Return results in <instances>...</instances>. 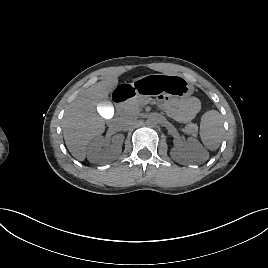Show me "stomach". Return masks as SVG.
Segmentation results:
<instances>
[{
  "instance_id": "obj_1",
  "label": "stomach",
  "mask_w": 268,
  "mask_h": 268,
  "mask_svg": "<svg viewBox=\"0 0 268 268\" xmlns=\"http://www.w3.org/2000/svg\"><path fill=\"white\" fill-rule=\"evenodd\" d=\"M130 85L137 95L147 97L159 93L188 97L194 91L193 84L178 74H148L136 78Z\"/></svg>"
}]
</instances>
